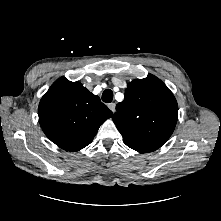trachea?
Instances as JSON below:
<instances>
[{
	"label": "trachea",
	"mask_w": 221,
	"mask_h": 221,
	"mask_svg": "<svg viewBox=\"0 0 221 221\" xmlns=\"http://www.w3.org/2000/svg\"><path fill=\"white\" fill-rule=\"evenodd\" d=\"M113 100V92L110 89H107L102 94V101L105 103H111Z\"/></svg>",
	"instance_id": "3493384b"
}]
</instances>
